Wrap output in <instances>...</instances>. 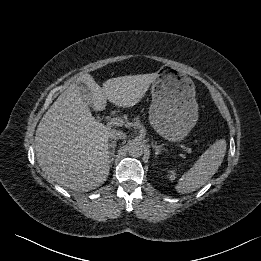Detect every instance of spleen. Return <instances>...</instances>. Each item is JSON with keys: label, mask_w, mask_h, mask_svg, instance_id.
Here are the masks:
<instances>
[{"label": "spleen", "mask_w": 261, "mask_h": 261, "mask_svg": "<svg viewBox=\"0 0 261 261\" xmlns=\"http://www.w3.org/2000/svg\"><path fill=\"white\" fill-rule=\"evenodd\" d=\"M226 140L220 139L212 144L181 176L175 189L180 194H186L201 188L217 172L223 162L226 152Z\"/></svg>", "instance_id": "obj_1"}]
</instances>
